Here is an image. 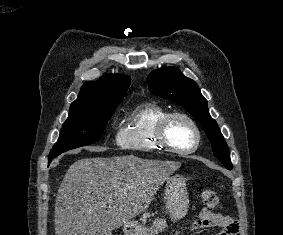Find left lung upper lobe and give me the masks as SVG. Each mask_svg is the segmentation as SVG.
Masks as SVG:
<instances>
[{
	"label": "left lung upper lobe",
	"instance_id": "obj_1",
	"mask_svg": "<svg viewBox=\"0 0 283 235\" xmlns=\"http://www.w3.org/2000/svg\"><path fill=\"white\" fill-rule=\"evenodd\" d=\"M147 84L152 93L179 104L196 116L208 135L215 157L222 163H231L223 135L210 116L207 100L194 80L185 77L179 69L168 67L151 72L147 77Z\"/></svg>",
	"mask_w": 283,
	"mask_h": 235
}]
</instances>
